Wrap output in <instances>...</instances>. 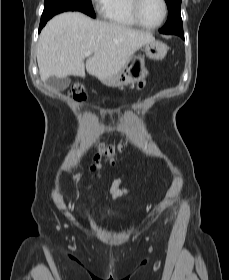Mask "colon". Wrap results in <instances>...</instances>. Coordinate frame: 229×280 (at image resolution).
<instances>
[{
  "label": "colon",
  "instance_id": "5ec220e1",
  "mask_svg": "<svg viewBox=\"0 0 229 280\" xmlns=\"http://www.w3.org/2000/svg\"><path fill=\"white\" fill-rule=\"evenodd\" d=\"M70 95L75 101H84L86 98L84 86L81 83L72 84L70 87ZM122 152H129L126 141L118 145H99L93 155V162L97 163L101 159H105L113 163L115 157Z\"/></svg>",
  "mask_w": 229,
  "mask_h": 280
}]
</instances>
